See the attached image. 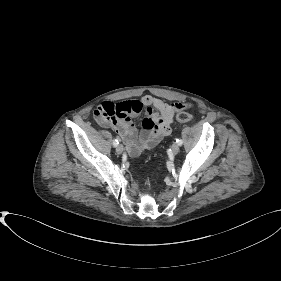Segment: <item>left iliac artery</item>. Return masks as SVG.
Here are the masks:
<instances>
[{"label":"left iliac artery","instance_id":"obj_1","mask_svg":"<svg viewBox=\"0 0 281 281\" xmlns=\"http://www.w3.org/2000/svg\"><path fill=\"white\" fill-rule=\"evenodd\" d=\"M176 143H177L178 145H182L183 141H182L181 139H177V140H176Z\"/></svg>","mask_w":281,"mask_h":281}]
</instances>
